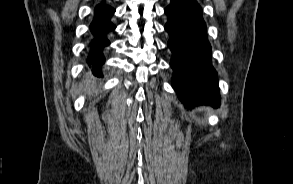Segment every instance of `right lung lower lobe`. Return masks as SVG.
Masks as SVG:
<instances>
[{
  "instance_id": "98d812e1",
  "label": "right lung lower lobe",
  "mask_w": 293,
  "mask_h": 184,
  "mask_svg": "<svg viewBox=\"0 0 293 184\" xmlns=\"http://www.w3.org/2000/svg\"><path fill=\"white\" fill-rule=\"evenodd\" d=\"M94 11L95 15L90 24V31L93 34L94 39L90 43L91 51L87 62L88 64H92L93 73L100 76V66L104 62L101 50L104 46L109 45V41L106 37L107 33L116 28V26L110 21L115 9L105 4H98Z\"/></svg>"
}]
</instances>
